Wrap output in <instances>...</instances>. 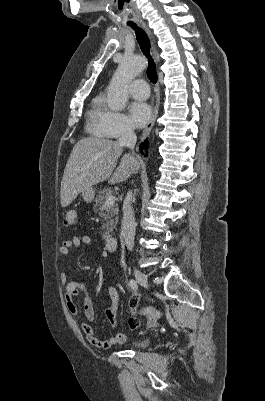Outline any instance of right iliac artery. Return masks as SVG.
<instances>
[{
	"instance_id": "right-iliac-artery-1",
	"label": "right iliac artery",
	"mask_w": 265,
	"mask_h": 401,
	"mask_svg": "<svg viewBox=\"0 0 265 401\" xmlns=\"http://www.w3.org/2000/svg\"><path fill=\"white\" fill-rule=\"evenodd\" d=\"M129 286H130L133 290H135V291L138 289L137 282H136L134 279H131V280L129 281Z\"/></svg>"
}]
</instances>
